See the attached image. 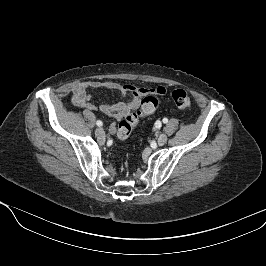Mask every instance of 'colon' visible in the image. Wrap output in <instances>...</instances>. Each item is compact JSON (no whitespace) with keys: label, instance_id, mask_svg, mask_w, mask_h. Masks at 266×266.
I'll use <instances>...</instances> for the list:
<instances>
[{"label":"colon","instance_id":"5ec220e1","mask_svg":"<svg viewBox=\"0 0 266 266\" xmlns=\"http://www.w3.org/2000/svg\"><path fill=\"white\" fill-rule=\"evenodd\" d=\"M174 104L179 109H190L192 107V100L188 93L183 89H175L171 94ZM159 106V100L153 95H146L141 100V109L128 115L123 121L120 122L117 129V136L121 140L127 139L134 127L139 121L148 115L153 114Z\"/></svg>","mask_w":266,"mask_h":266}]
</instances>
